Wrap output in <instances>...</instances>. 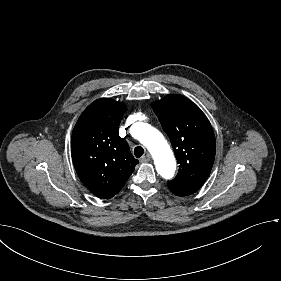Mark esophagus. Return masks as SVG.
I'll list each match as a JSON object with an SVG mask.
<instances>
[{
  "instance_id": "obj_1",
  "label": "esophagus",
  "mask_w": 281,
  "mask_h": 281,
  "mask_svg": "<svg viewBox=\"0 0 281 281\" xmlns=\"http://www.w3.org/2000/svg\"><path fill=\"white\" fill-rule=\"evenodd\" d=\"M150 160H151L150 155H149V154H146L140 161H141L142 163H147V162H149Z\"/></svg>"
}]
</instances>
